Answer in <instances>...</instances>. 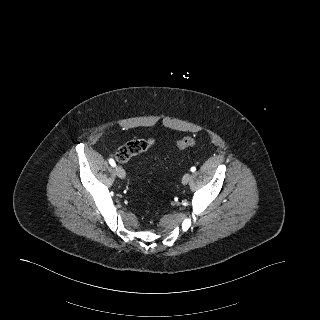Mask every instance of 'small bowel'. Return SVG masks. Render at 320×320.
Here are the masks:
<instances>
[{
	"mask_svg": "<svg viewBox=\"0 0 320 320\" xmlns=\"http://www.w3.org/2000/svg\"><path fill=\"white\" fill-rule=\"evenodd\" d=\"M150 145H152L154 143V140L153 139H148L146 140Z\"/></svg>",
	"mask_w": 320,
	"mask_h": 320,
	"instance_id": "c3829d8e",
	"label": "small bowel"
}]
</instances>
